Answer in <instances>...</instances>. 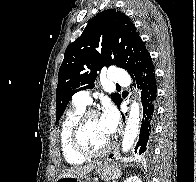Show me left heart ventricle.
Here are the masks:
<instances>
[{
  "label": "left heart ventricle",
  "instance_id": "obj_1",
  "mask_svg": "<svg viewBox=\"0 0 196 182\" xmlns=\"http://www.w3.org/2000/svg\"><path fill=\"white\" fill-rule=\"evenodd\" d=\"M111 137L105 131L101 117H91L85 124L81 132V142L89 151H97L105 147Z\"/></svg>",
  "mask_w": 196,
  "mask_h": 182
}]
</instances>
